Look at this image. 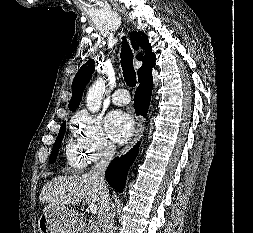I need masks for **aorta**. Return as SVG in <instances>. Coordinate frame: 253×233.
Listing matches in <instances>:
<instances>
[{"mask_svg":"<svg viewBox=\"0 0 253 233\" xmlns=\"http://www.w3.org/2000/svg\"><path fill=\"white\" fill-rule=\"evenodd\" d=\"M104 92L105 81L99 78L92 84L87 92L86 105L89 111L95 113L100 109Z\"/></svg>","mask_w":253,"mask_h":233,"instance_id":"762f6f07","label":"aorta"}]
</instances>
